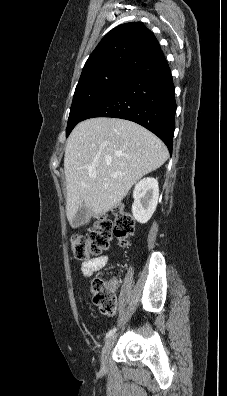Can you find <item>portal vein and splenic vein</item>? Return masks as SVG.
<instances>
[{"label":"portal vein and splenic vein","mask_w":227,"mask_h":396,"mask_svg":"<svg viewBox=\"0 0 227 396\" xmlns=\"http://www.w3.org/2000/svg\"><path fill=\"white\" fill-rule=\"evenodd\" d=\"M95 176H96L95 172H89V177L95 178Z\"/></svg>","instance_id":"1"}]
</instances>
